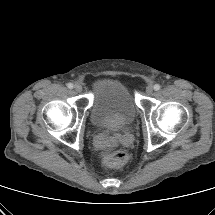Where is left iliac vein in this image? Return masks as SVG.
<instances>
[{"label": "left iliac vein", "instance_id": "left-iliac-vein-1", "mask_svg": "<svg viewBox=\"0 0 215 215\" xmlns=\"http://www.w3.org/2000/svg\"><path fill=\"white\" fill-rule=\"evenodd\" d=\"M153 89H154L153 86H151V85L147 86V88H146V94H147V95L152 94Z\"/></svg>", "mask_w": 215, "mask_h": 215}]
</instances>
